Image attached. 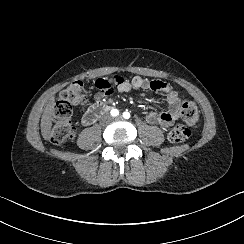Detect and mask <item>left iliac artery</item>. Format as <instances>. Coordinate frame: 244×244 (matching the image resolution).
<instances>
[{
	"label": "left iliac artery",
	"mask_w": 244,
	"mask_h": 244,
	"mask_svg": "<svg viewBox=\"0 0 244 244\" xmlns=\"http://www.w3.org/2000/svg\"><path fill=\"white\" fill-rule=\"evenodd\" d=\"M123 117L125 118V119H129L130 118V113L129 112H124L123 113Z\"/></svg>",
	"instance_id": "left-iliac-artery-1"
}]
</instances>
